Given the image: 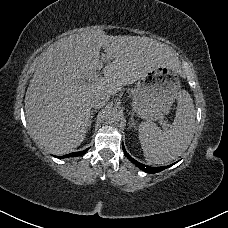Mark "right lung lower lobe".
I'll list each match as a JSON object with an SVG mask.
<instances>
[{
    "label": "right lung lower lobe",
    "mask_w": 228,
    "mask_h": 228,
    "mask_svg": "<svg viewBox=\"0 0 228 228\" xmlns=\"http://www.w3.org/2000/svg\"><path fill=\"white\" fill-rule=\"evenodd\" d=\"M86 151H87V149L85 151L75 152V153L64 155V156H59L58 158H66V157H71V156L72 157L81 156V155L85 154Z\"/></svg>",
    "instance_id": "obj_1"
}]
</instances>
